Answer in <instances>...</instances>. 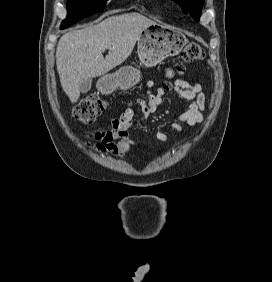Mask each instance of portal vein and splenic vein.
Instances as JSON below:
<instances>
[{"label":"portal vein and splenic vein","mask_w":272,"mask_h":282,"mask_svg":"<svg viewBox=\"0 0 272 282\" xmlns=\"http://www.w3.org/2000/svg\"><path fill=\"white\" fill-rule=\"evenodd\" d=\"M103 49H104V50H105V49H108V46H104Z\"/></svg>","instance_id":"1"}]
</instances>
